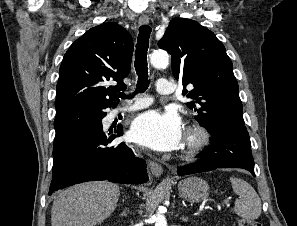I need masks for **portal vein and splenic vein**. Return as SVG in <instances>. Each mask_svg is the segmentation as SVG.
<instances>
[{
    "label": "portal vein and splenic vein",
    "instance_id": "18ae733b",
    "mask_svg": "<svg viewBox=\"0 0 297 226\" xmlns=\"http://www.w3.org/2000/svg\"><path fill=\"white\" fill-rule=\"evenodd\" d=\"M223 203L226 204V205H229V200L226 199V200L223 201Z\"/></svg>",
    "mask_w": 297,
    "mask_h": 226
}]
</instances>
